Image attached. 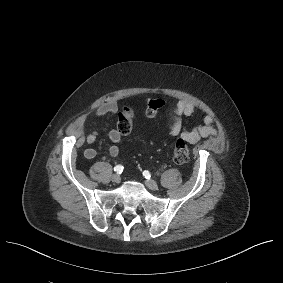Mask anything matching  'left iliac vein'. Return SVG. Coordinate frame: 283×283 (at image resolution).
I'll list each match as a JSON object with an SVG mask.
<instances>
[{
  "label": "left iliac vein",
  "mask_w": 283,
  "mask_h": 283,
  "mask_svg": "<svg viewBox=\"0 0 283 283\" xmlns=\"http://www.w3.org/2000/svg\"><path fill=\"white\" fill-rule=\"evenodd\" d=\"M146 186L151 190H157L158 184L154 180H146L145 181Z\"/></svg>",
  "instance_id": "left-iliac-vein-1"
}]
</instances>
